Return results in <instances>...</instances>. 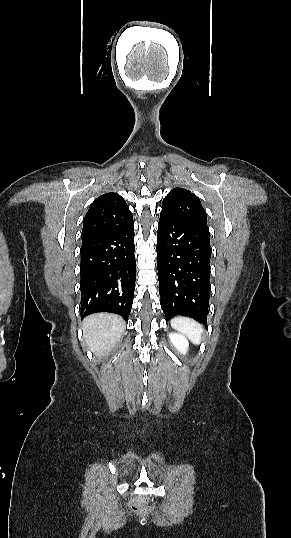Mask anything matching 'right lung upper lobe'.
<instances>
[{
	"instance_id": "obj_1",
	"label": "right lung upper lobe",
	"mask_w": 291,
	"mask_h": 538,
	"mask_svg": "<svg viewBox=\"0 0 291 538\" xmlns=\"http://www.w3.org/2000/svg\"><path fill=\"white\" fill-rule=\"evenodd\" d=\"M133 221L122 196L106 193L95 199L83 220L82 241L118 230Z\"/></svg>"
}]
</instances>
